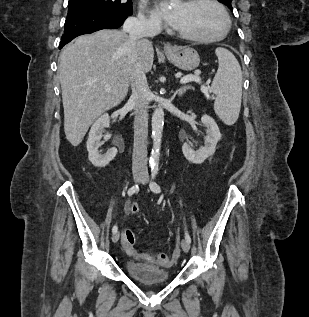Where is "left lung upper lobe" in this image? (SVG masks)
<instances>
[{"label":"left lung upper lobe","mask_w":309,"mask_h":317,"mask_svg":"<svg viewBox=\"0 0 309 317\" xmlns=\"http://www.w3.org/2000/svg\"><path fill=\"white\" fill-rule=\"evenodd\" d=\"M219 1L227 5L228 8L232 9V5H231L232 0H219Z\"/></svg>","instance_id":"obj_1"}]
</instances>
